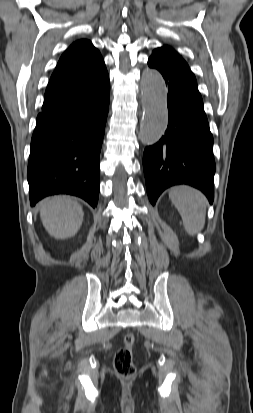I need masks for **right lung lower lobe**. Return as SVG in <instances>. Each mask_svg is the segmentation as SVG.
Here are the masks:
<instances>
[{"instance_id":"1","label":"right lung lower lobe","mask_w":253,"mask_h":413,"mask_svg":"<svg viewBox=\"0 0 253 413\" xmlns=\"http://www.w3.org/2000/svg\"><path fill=\"white\" fill-rule=\"evenodd\" d=\"M110 81L94 93L38 115L28 162L30 203L71 194L96 207L99 157L109 110Z\"/></svg>"}]
</instances>
